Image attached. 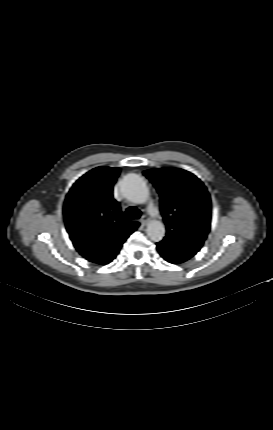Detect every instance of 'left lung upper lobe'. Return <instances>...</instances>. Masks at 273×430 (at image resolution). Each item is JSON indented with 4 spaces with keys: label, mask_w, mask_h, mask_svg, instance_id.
Masks as SVG:
<instances>
[{
    "label": "left lung upper lobe",
    "mask_w": 273,
    "mask_h": 430,
    "mask_svg": "<svg viewBox=\"0 0 273 430\" xmlns=\"http://www.w3.org/2000/svg\"><path fill=\"white\" fill-rule=\"evenodd\" d=\"M160 195L166 236L161 241L169 252H181L187 259L202 247L211 225V199L192 173L178 168L150 169L143 172Z\"/></svg>",
    "instance_id": "left-lung-upper-lobe-1"
}]
</instances>
